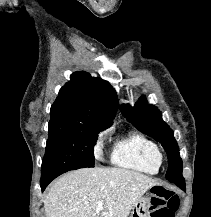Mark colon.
Masks as SVG:
<instances>
[{
  "mask_svg": "<svg viewBox=\"0 0 211 217\" xmlns=\"http://www.w3.org/2000/svg\"><path fill=\"white\" fill-rule=\"evenodd\" d=\"M179 208L178 195L164 187H155L152 197L151 217H175Z\"/></svg>",
  "mask_w": 211,
  "mask_h": 217,
  "instance_id": "5ec220e1",
  "label": "colon"
}]
</instances>
